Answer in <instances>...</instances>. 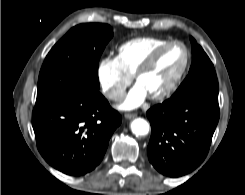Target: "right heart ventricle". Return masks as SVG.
<instances>
[{
	"label": "right heart ventricle",
	"mask_w": 245,
	"mask_h": 195,
	"mask_svg": "<svg viewBox=\"0 0 245 195\" xmlns=\"http://www.w3.org/2000/svg\"><path fill=\"white\" fill-rule=\"evenodd\" d=\"M168 40L153 37H141L129 40L117 49L116 59L121 68L132 76L143 60L157 47Z\"/></svg>",
	"instance_id": "obj_1"
}]
</instances>
